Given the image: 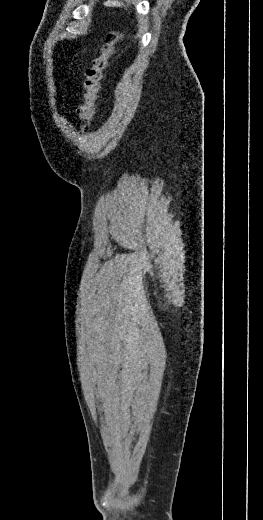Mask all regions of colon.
<instances>
[{
  "label": "colon",
  "mask_w": 263,
  "mask_h": 520,
  "mask_svg": "<svg viewBox=\"0 0 263 520\" xmlns=\"http://www.w3.org/2000/svg\"><path fill=\"white\" fill-rule=\"evenodd\" d=\"M123 38L119 30H110L100 46L99 54L91 61L85 71L83 82V103L77 109V115L84 126H88L95 114V105L101 89L103 74L109 66L110 59L116 53V47Z\"/></svg>",
  "instance_id": "5ec220e1"
}]
</instances>
